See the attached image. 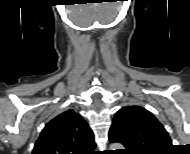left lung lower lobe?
<instances>
[{"label":"left lung lower lobe","mask_w":190,"mask_h":154,"mask_svg":"<svg viewBox=\"0 0 190 154\" xmlns=\"http://www.w3.org/2000/svg\"><path fill=\"white\" fill-rule=\"evenodd\" d=\"M110 141H111V142H120L119 140L114 139V138L110 139ZM120 143H121V142H120ZM125 151L128 152L127 149H126Z\"/></svg>","instance_id":"obj_1"}]
</instances>
